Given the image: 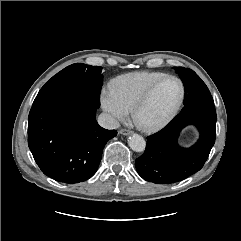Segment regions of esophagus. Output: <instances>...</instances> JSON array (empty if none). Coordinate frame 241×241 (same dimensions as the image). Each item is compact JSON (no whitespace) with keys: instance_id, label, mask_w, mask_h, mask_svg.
<instances>
[{"instance_id":"1","label":"esophagus","mask_w":241,"mask_h":241,"mask_svg":"<svg viewBox=\"0 0 241 241\" xmlns=\"http://www.w3.org/2000/svg\"><path fill=\"white\" fill-rule=\"evenodd\" d=\"M119 134L127 136V135H131L132 131L127 130V129H121V130H119Z\"/></svg>"}]
</instances>
